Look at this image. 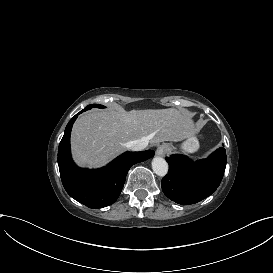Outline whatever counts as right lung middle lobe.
<instances>
[{"label":"right lung middle lobe","instance_id":"right-lung-middle-lobe-1","mask_svg":"<svg viewBox=\"0 0 273 273\" xmlns=\"http://www.w3.org/2000/svg\"><path fill=\"white\" fill-rule=\"evenodd\" d=\"M93 107H97V108H104L103 105H98V104H92V105H88L86 108H84L83 110L86 111V110H89Z\"/></svg>","mask_w":273,"mask_h":273}]
</instances>
